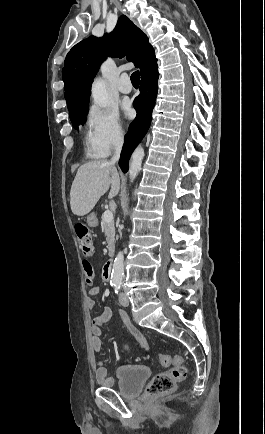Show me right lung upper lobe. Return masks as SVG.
<instances>
[{"label": "right lung upper lobe", "instance_id": "1", "mask_svg": "<svg viewBox=\"0 0 265 434\" xmlns=\"http://www.w3.org/2000/svg\"><path fill=\"white\" fill-rule=\"evenodd\" d=\"M106 56H127L140 68L154 56V49L147 36L125 15L119 17L110 34L82 40L68 52L62 70L67 104L90 96L92 80Z\"/></svg>", "mask_w": 265, "mask_h": 434}]
</instances>
